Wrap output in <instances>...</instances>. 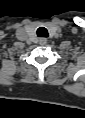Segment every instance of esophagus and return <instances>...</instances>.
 Segmentation results:
<instances>
[{
	"label": "esophagus",
	"instance_id": "obj_1",
	"mask_svg": "<svg viewBox=\"0 0 85 118\" xmlns=\"http://www.w3.org/2000/svg\"><path fill=\"white\" fill-rule=\"evenodd\" d=\"M47 43V39L46 38H40L39 39V44L40 45H45Z\"/></svg>",
	"mask_w": 85,
	"mask_h": 118
}]
</instances>
